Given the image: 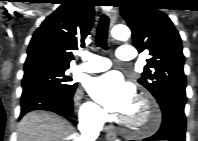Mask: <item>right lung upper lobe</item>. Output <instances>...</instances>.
<instances>
[{
    "instance_id": "obj_1",
    "label": "right lung upper lobe",
    "mask_w": 198,
    "mask_h": 141,
    "mask_svg": "<svg viewBox=\"0 0 198 141\" xmlns=\"http://www.w3.org/2000/svg\"><path fill=\"white\" fill-rule=\"evenodd\" d=\"M94 21L92 0H66L49 15L33 34L24 71L39 68H69Z\"/></svg>"
}]
</instances>
